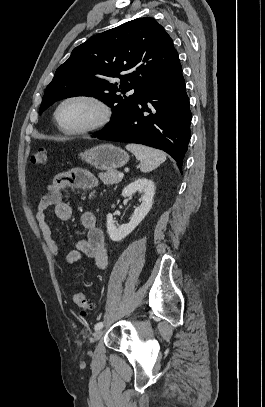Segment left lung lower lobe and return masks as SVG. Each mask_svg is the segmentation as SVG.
Segmentation results:
<instances>
[{
	"label": "left lung lower lobe",
	"instance_id": "left-lung-lower-lobe-1",
	"mask_svg": "<svg viewBox=\"0 0 265 407\" xmlns=\"http://www.w3.org/2000/svg\"><path fill=\"white\" fill-rule=\"evenodd\" d=\"M153 106L156 113L148 108ZM149 112L150 115H144ZM192 114L181 65L170 75L152 83L130 115L99 139L131 142L161 149L182 169L191 137Z\"/></svg>",
	"mask_w": 265,
	"mask_h": 407
}]
</instances>
